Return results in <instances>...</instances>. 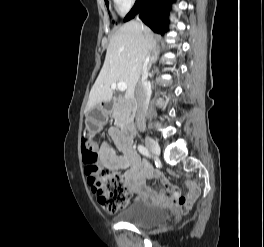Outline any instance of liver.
I'll return each instance as SVG.
<instances>
[{
	"label": "liver",
	"mask_w": 264,
	"mask_h": 247,
	"mask_svg": "<svg viewBox=\"0 0 264 247\" xmlns=\"http://www.w3.org/2000/svg\"><path fill=\"white\" fill-rule=\"evenodd\" d=\"M156 51L154 35L136 21L121 26L110 38L103 67L87 102V111L112 99V83H127L125 98H132L145 54Z\"/></svg>",
	"instance_id": "liver-1"
}]
</instances>
